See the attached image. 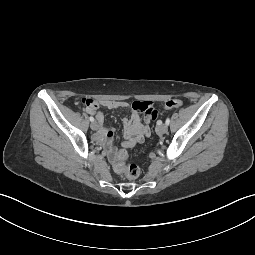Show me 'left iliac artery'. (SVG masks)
<instances>
[{
  "label": "left iliac artery",
  "instance_id": "1",
  "mask_svg": "<svg viewBox=\"0 0 255 255\" xmlns=\"http://www.w3.org/2000/svg\"><path fill=\"white\" fill-rule=\"evenodd\" d=\"M165 123H166L167 125H169V124H170V118H167L166 121H165Z\"/></svg>",
  "mask_w": 255,
  "mask_h": 255
}]
</instances>
